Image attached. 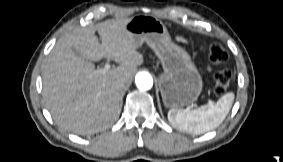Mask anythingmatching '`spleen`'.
I'll return each instance as SVG.
<instances>
[{
    "instance_id": "obj_1",
    "label": "spleen",
    "mask_w": 283,
    "mask_h": 162,
    "mask_svg": "<svg viewBox=\"0 0 283 162\" xmlns=\"http://www.w3.org/2000/svg\"><path fill=\"white\" fill-rule=\"evenodd\" d=\"M234 93L223 95L215 104L194 110L171 109L168 120L175 128L191 134H202L218 127L228 115L234 101Z\"/></svg>"
}]
</instances>
